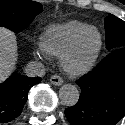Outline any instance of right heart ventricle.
Returning a JSON list of instances; mask_svg holds the SVG:
<instances>
[{
    "label": "right heart ventricle",
    "mask_w": 125,
    "mask_h": 125,
    "mask_svg": "<svg viewBox=\"0 0 125 125\" xmlns=\"http://www.w3.org/2000/svg\"><path fill=\"white\" fill-rule=\"evenodd\" d=\"M89 26L77 20L53 23L45 29L42 40L52 56H60L74 36Z\"/></svg>",
    "instance_id": "right-heart-ventricle-1"
}]
</instances>
